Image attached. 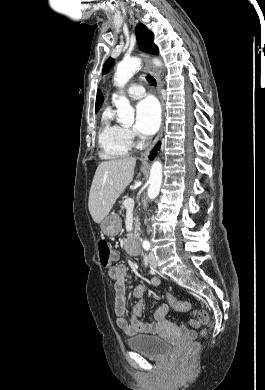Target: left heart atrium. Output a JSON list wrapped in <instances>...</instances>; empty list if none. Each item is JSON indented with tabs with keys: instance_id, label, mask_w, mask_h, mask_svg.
<instances>
[{
	"instance_id": "left-heart-atrium-1",
	"label": "left heart atrium",
	"mask_w": 265,
	"mask_h": 390,
	"mask_svg": "<svg viewBox=\"0 0 265 390\" xmlns=\"http://www.w3.org/2000/svg\"><path fill=\"white\" fill-rule=\"evenodd\" d=\"M160 108L152 98L141 100L136 106V130L143 135L154 134L160 125Z\"/></svg>"
}]
</instances>
